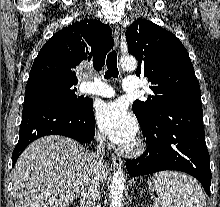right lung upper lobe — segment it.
I'll use <instances>...</instances> for the list:
<instances>
[{
	"label": "right lung upper lobe",
	"mask_w": 220,
	"mask_h": 207,
	"mask_svg": "<svg viewBox=\"0 0 220 207\" xmlns=\"http://www.w3.org/2000/svg\"><path fill=\"white\" fill-rule=\"evenodd\" d=\"M111 34V28L96 19H82L64 27L38 53L27 84L52 79L76 85L78 81L72 69L88 60L95 70H101L107 52L113 48Z\"/></svg>",
	"instance_id": "right-lung-upper-lobe-1"
}]
</instances>
